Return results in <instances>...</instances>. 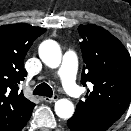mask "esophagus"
<instances>
[{"label": "esophagus", "instance_id": "1", "mask_svg": "<svg viewBox=\"0 0 131 131\" xmlns=\"http://www.w3.org/2000/svg\"><path fill=\"white\" fill-rule=\"evenodd\" d=\"M43 100L47 103H52L58 100V95H54L52 98L50 97H44Z\"/></svg>", "mask_w": 131, "mask_h": 131}]
</instances>
